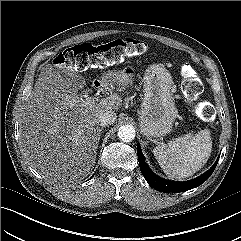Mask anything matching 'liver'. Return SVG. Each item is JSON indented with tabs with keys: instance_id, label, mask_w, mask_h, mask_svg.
Listing matches in <instances>:
<instances>
[{
	"instance_id": "liver-1",
	"label": "liver",
	"mask_w": 241,
	"mask_h": 241,
	"mask_svg": "<svg viewBox=\"0 0 241 241\" xmlns=\"http://www.w3.org/2000/svg\"><path fill=\"white\" fill-rule=\"evenodd\" d=\"M47 64L40 71L21 113V147L30 166L53 184L68 185L87 177L96 161L101 111H117V93L100 101L83 99L79 86ZM119 78L109 74L105 86L121 91Z\"/></svg>"
}]
</instances>
